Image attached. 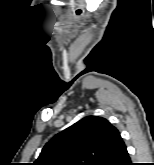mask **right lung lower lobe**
I'll return each instance as SVG.
<instances>
[{"label": "right lung lower lobe", "mask_w": 154, "mask_h": 165, "mask_svg": "<svg viewBox=\"0 0 154 165\" xmlns=\"http://www.w3.org/2000/svg\"><path fill=\"white\" fill-rule=\"evenodd\" d=\"M115 152L112 154L110 159L105 165H132L126 146L122 139H120L115 147Z\"/></svg>", "instance_id": "98d812e1"}]
</instances>
